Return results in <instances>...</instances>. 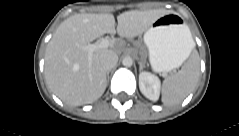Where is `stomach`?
I'll list each match as a JSON object with an SVG mask.
<instances>
[{"label":"stomach","mask_w":239,"mask_h":136,"mask_svg":"<svg viewBox=\"0 0 239 136\" xmlns=\"http://www.w3.org/2000/svg\"><path fill=\"white\" fill-rule=\"evenodd\" d=\"M189 32L182 17L174 12L167 13L153 22L144 34V43L154 71H171L186 60L192 49Z\"/></svg>","instance_id":"1"}]
</instances>
